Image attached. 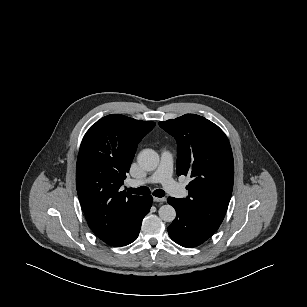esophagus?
I'll use <instances>...</instances> for the list:
<instances>
[{
    "label": "esophagus",
    "mask_w": 307,
    "mask_h": 307,
    "mask_svg": "<svg viewBox=\"0 0 307 307\" xmlns=\"http://www.w3.org/2000/svg\"><path fill=\"white\" fill-rule=\"evenodd\" d=\"M153 200H154L155 202H160V203H162V202H165V201H166V198H165V197H161V198H159V197H154Z\"/></svg>",
    "instance_id": "esophagus-1"
}]
</instances>
